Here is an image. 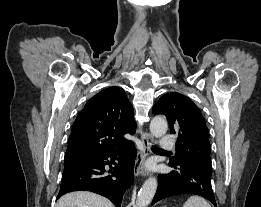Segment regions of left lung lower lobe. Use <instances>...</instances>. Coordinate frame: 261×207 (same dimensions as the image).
<instances>
[{
  "label": "left lung lower lobe",
  "instance_id": "0a47b994",
  "mask_svg": "<svg viewBox=\"0 0 261 207\" xmlns=\"http://www.w3.org/2000/svg\"><path fill=\"white\" fill-rule=\"evenodd\" d=\"M168 174H160L157 192L152 204L178 194H195L208 199L217 207L211 186V175L183 164L172 165Z\"/></svg>",
  "mask_w": 261,
  "mask_h": 207
}]
</instances>
